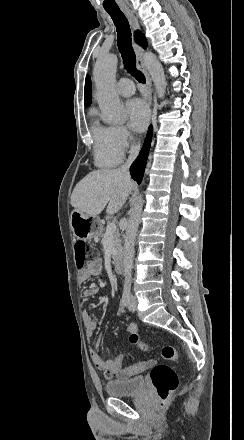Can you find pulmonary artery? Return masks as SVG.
Returning <instances> with one entry per match:
<instances>
[{
	"label": "pulmonary artery",
	"instance_id": "pulmonary-artery-1",
	"mask_svg": "<svg viewBox=\"0 0 244 440\" xmlns=\"http://www.w3.org/2000/svg\"><path fill=\"white\" fill-rule=\"evenodd\" d=\"M119 81L120 82H118L117 88L122 96L129 97L135 94L133 83L129 82L130 78L128 75H121Z\"/></svg>",
	"mask_w": 244,
	"mask_h": 440
}]
</instances>
